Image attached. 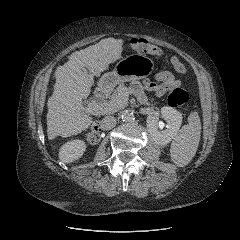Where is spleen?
I'll return each mask as SVG.
<instances>
[{
	"instance_id": "spleen-1",
	"label": "spleen",
	"mask_w": 240,
	"mask_h": 240,
	"mask_svg": "<svg viewBox=\"0 0 240 240\" xmlns=\"http://www.w3.org/2000/svg\"><path fill=\"white\" fill-rule=\"evenodd\" d=\"M201 136V121L197 112L188 116V124L184 125L172 141L170 156L178 167L189 164L196 154Z\"/></svg>"
}]
</instances>
